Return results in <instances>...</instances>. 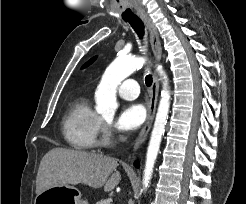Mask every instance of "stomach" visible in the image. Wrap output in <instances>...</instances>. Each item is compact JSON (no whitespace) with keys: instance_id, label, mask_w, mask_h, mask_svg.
I'll list each match as a JSON object with an SVG mask.
<instances>
[{"instance_id":"stomach-1","label":"stomach","mask_w":246,"mask_h":204,"mask_svg":"<svg viewBox=\"0 0 246 204\" xmlns=\"http://www.w3.org/2000/svg\"><path fill=\"white\" fill-rule=\"evenodd\" d=\"M34 204H88L80 191L69 185L54 186L38 194Z\"/></svg>"}]
</instances>
